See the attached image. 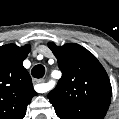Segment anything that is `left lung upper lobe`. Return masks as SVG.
Masks as SVG:
<instances>
[{"label": "left lung upper lobe", "instance_id": "obj_1", "mask_svg": "<svg viewBox=\"0 0 119 119\" xmlns=\"http://www.w3.org/2000/svg\"><path fill=\"white\" fill-rule=\"evenodd\" d=\"M57 58L62 77L48 94L61 119H103L109 108L112 88L108 75L87 49L76 43L48 44Z\"/></svg>", "mask_w": 119, "mask_h": 119}]
</instances>
